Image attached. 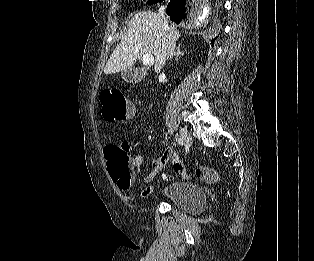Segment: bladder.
I'll return each instance as SVG.
<instances>
[{
	"label": "bladder",
	"mask_w": 314,
	"mask_h": 261,
	"mask_svg": "<svg viewBox=\"0 0 314 261\" xmlns=\"http://www.w3.org/2000/svg\"><path fill=\"white\" fill-rule=\"evenodd\" d=\"M162 197L189 214L200 213L207 205L204 189L195 183L172 184L164 190Z\"/></svg>",
	"instance_id": "31cf9c89"
}]
</instances>
